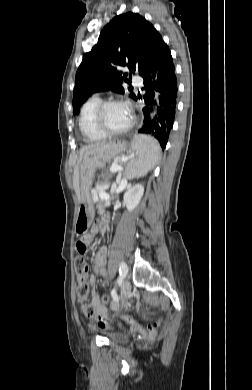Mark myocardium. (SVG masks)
Masks as SVG:
<instances>
[{
  "label": "myocardium",
  "instance_id": "1",
  "mask_svg": "<svg viewBox=\"0 0 252 390\" xmlns=\"http://www.w3.org/2000/svg\"><path fill=\"white\" fill-rule=\"evenodd\" d=\"M112 104H124L131 111L130 123L123 129L111 130V129L107 128L105 125L104 118H103L104 112L107 109V107L112 105ZM135 122H136V116H135L132 105L128 101L121 99V98H109V99L101 101L98 104V106L96 107L95 112H94V123H95L96 128L103 135H105L107 137L119 136V135H123V134L129 132L132 129V127L134 126Z\"/></svg>",
  "mask_w": 252,
  "mask_h": 390
}]
</instances>
